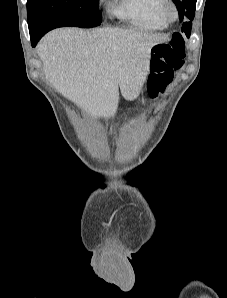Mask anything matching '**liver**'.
<instances>
[{"mask_svg":"<svg viewBox=\"0 0 227 298\" xmlns=\"http://www.w3.org/2000/svg\"><path fill=\"white\" fill-rule=\"evenodd\" d=\"M169 37L121 28L51 31L38 46L46 78L93 117H114L119 87L135 100L150 70L151 49Z\"/></svg>","mask_w":227,"mask_h":298,"instance_id":"obj_1","label":"liver"}]
</instances>
